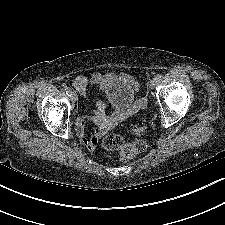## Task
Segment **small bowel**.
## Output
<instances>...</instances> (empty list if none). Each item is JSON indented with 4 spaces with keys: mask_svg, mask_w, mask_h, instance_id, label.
<instances>
[{
    "mask_svg": "<svg viewBox=\"0 0 225 225\" xmlns=\"http://www.w3.org/2000/svg\"><path fill=\"white\" fill-rule=\"evenodd\" d=\"M114 81H121L123 83L128 84L130 88L136 90L138 88V83L136 80L128 75V74H120L116 75L113 73L102 74V73H93L90 77L86 76H77L73 80L74 87L82 94H85L87 88L89 86H97L102 90H106L110 84ZM103 109L104 106L101 102H97L96 109H95V120L102 125L106 126L108 123L103 120ZM86 116L84 114H80L76 119V125L78 127L79 134L83 143L89 149H94L97 145V137L94 136H87L85 133V123H86ZM101 128L97 129L96 134L100 133Z\"/></svg>",
    "mask_w": 225,
    "mask_h": 225,
    "instance_id": "1",
    "label": "small bowel"
}]
</instances>
